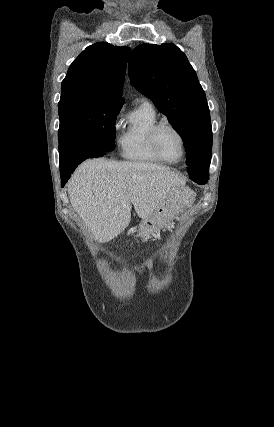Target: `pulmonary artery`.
<instances>
[{"mask_svg":"<svg viewBox=\"0 0 274 427\" xmlns=\"http://www.w3.org/2000/svg\"><path fill=\"white\" fill-rule=\"evenodd\" d=\"M142 104H145V105H151V103L150 102H148V101H144Z\"/></svg>","mask_w":274,"mask_h":427,"instance_id":"obj_1","label":"pulmonary artery"}]
</instances>
